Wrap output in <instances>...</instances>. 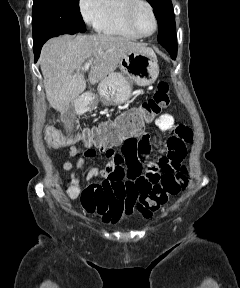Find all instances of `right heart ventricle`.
<instances>
[{"instance_id": "right-heart-ventricle-1", "label": "right heart ventricle", "mask_w": 240, "mask_h": 288, "mask_svg": "<svg viewBox=\"0 0 240 288\" xmlns=\"http://www.w3.org/2000/svg\"><path fill=\"white\" fill-rule=\"evenodd\" d=\"M128 0H106L103 15L96 26L101 33L138 39L126 25L124 8Z\"/></svg>"}]
</instances>
